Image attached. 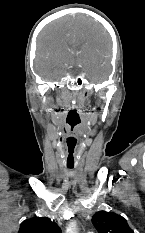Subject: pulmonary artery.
<instances>
[{"label":"pulmonary artery","mask_w":145,"mask_h":233,"mask_svg":"<svg viewBox=\"0 0 145 233\" xmlns=\"http://www.w3.org/2000/svg\"><path fill=\"white\" fill-rule=\"evenodd\" d=\"M88 233H93V231H89Z\"/></svg>","instance_id":"1"}]
</instances>
